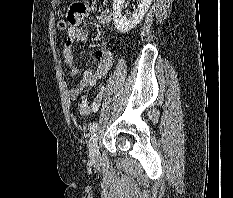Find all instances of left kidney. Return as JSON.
<instances>
[{
	"instance_id": "1",
	"label": "left kidney",
	"mask_w": 233,
	"mask_h": 198,
	"mask_svg": "<svg viewBox=\"0 0 233 198\" xmlns=\"http://www.w3.org/2000/svg\"><path fill=\"white\" fill-rule=\"evenodd\" d=\"M124 2L125 0H113L114 25L115 28L121 33L130 31L143 19L152 3V0H139L137 8L129 18L122 15V7Z\"/></svg>"
}]
</instances>
